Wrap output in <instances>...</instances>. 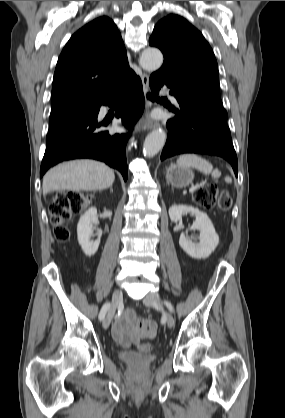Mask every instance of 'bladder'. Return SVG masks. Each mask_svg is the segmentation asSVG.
Returning a JSON list of instances; mask_svg holds the SVG:
<instances>
[{
  "mask_svg": "<svg viewBox=\"0 0 285 418\" xmlns=\"http://www.w3.org/2000/svg\"><path fill=\"white\" fill-rule=\"evenodd\" d=\"M122 361L130 365H147L154 360L150 353H139L134 349H126L119 353Z\"/></svg>",
  "mask_w": 285,
  "mask_h": 418,
  "instance_id": "bladder-1",
  "label": "bladder"
}]
</instances>
